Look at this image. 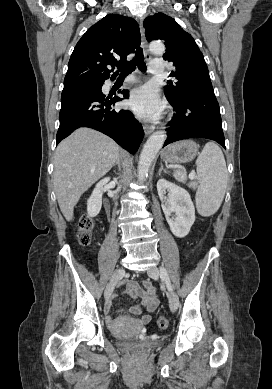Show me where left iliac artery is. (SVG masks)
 Here are the masks:
<instances>
[{"label":"left iliac artery","mask_w":272,"mask_h":389,"mask_svg":"<svg viewBox=\"0 0 272 389\" xmlns=\"http://www.w3.org/2000/svg\"><path fill=\"white\" fill-rule=\"evenodd\" d=\"M160 275H161L162 280L166 283L168 290L171 291L172 290L171 282H170L167 270L164 267L160 268Z\"/></svg>","instance_id":"left-iliac-artery-1"}]
</instances>
